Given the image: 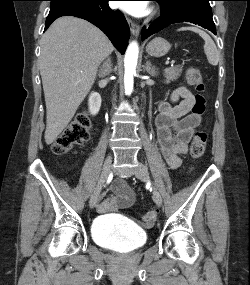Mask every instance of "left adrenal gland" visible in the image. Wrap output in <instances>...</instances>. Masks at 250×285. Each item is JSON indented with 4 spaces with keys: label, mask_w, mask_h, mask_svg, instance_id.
Segmentation results:
<instances>
[{
    "label": "left adrenal gland",
    "mask_w": 250,
    "mask_h": 285,
    "mask_svg": "<svg viewBox=\"0 0 250 285\" xmlns=\"http://www.w3.org/2000/svg\"><path fill=\"white\" fill-rule=\"evenodd\" d=\"M146 71H147V73H149V74L152 75V76H155V75L157 74L156 69H155L154 66H152L150 60H148V61L146 62Z\"/></svg>",
    "instance_id": "1"
}]
</instances>
